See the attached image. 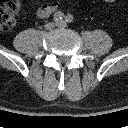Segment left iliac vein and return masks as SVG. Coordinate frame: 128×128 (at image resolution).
Instances as JSON below:
<instances>
[{
	"mask_svg": "<svg viewBox=\"0 0 128 128\" xmlns=\"http://www.w3.org/2000/svg\"><path fill=\"white\" fill-rule=\"evenodd\" d=\"M66 25H67L66 22L63 20L57 22V26L60 28H65Z\"/></svg>",
	"mask_w": 128,
	"mask_h": 128,
	"instance_id": "obj_1",
	"label": "left iliac vein"
}]
</instances>
